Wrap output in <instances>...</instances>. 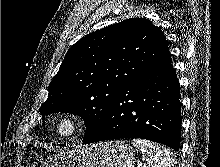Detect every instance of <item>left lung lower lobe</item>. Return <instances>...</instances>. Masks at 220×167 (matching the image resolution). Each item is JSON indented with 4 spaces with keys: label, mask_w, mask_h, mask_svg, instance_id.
<instances>
[{
    "label": "left lung lower lobe",
    "mask_w": 220,
    "mask_h": 167,
    "mask_svg": "<svg viewBox=\"0 0 220 167\" xmlns=\"http://www.w3.org/2000/svg\"><path fill=\"white\" fill-rule=\"evenodd\" d=\"M180 89L171 56L116 93L99 131L84 144L118 138H142L179 150Z\"/></svg>",
    "instance_id": "1"
}]
</instances>
